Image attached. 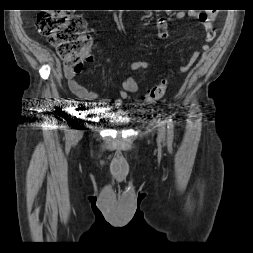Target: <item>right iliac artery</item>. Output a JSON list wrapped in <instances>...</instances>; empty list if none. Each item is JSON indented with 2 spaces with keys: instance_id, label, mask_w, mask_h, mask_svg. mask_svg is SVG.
I'll return each instance as SVG.
<instances>
[{
  "instance_id": "1",
  "label": "right iliac artery",
  "mask_w": 253,
  "mask_h": 253,
  "mask_svg": "<svg viewBox=\"0 0 253 253\" xmlns=\"http://www.w3.org/2000/svg\"><path fill=\"white\" fill-rule=\"evenodd\" d=\"M71 123H72V117H69L67 122L64 124V127H65V138L70 140L71 139V132H72V129L70 128L71 127Z\"/></svg>"
}]
</instances>
